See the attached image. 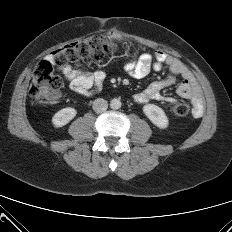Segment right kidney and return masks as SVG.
Segmentation results:
<instances>
[{
  "label": "right kidney",
  "instance_id": "ca27d5eb",
  "mask_svg": "<svg viewBox=\"0 0 232 232\" xmlns=\"http://www.w3.org/2000/svg\"><path fill=\"white\" fill-rule=\"evenodd\" d=\"M77 114V111L72 107H66L59 110L52 117L54 127H62L68 124Z\"/></svg>",
  "mask_w": 232,
  "mask_h": 232
}]
</instances>
